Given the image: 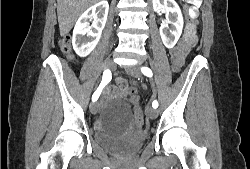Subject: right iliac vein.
I'll list each match as a JSON object with an SVG mask.
<instances>
[{"mask_svg":"<svg viewBox=\"0 0 250 169\" xmlns=\"http://www.w3.org/2000/svg\"><path fill=\"white\" fill-rule=\"evenodd\" d=\"M115 67H116L115 62L110 58H107L103 64V69L115 70ZM90 110L93 114H96L98 111V103L93 101L90 105Z\"/></svg>","mask_w":250,"mask_h":169,"instance_id":"1","label":"right iliac vein"}]
</instances>
